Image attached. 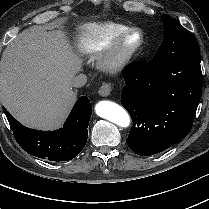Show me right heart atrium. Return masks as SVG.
Here are the masks:
<instances>
[{
    "mask_svg": "<svg viewBox=\"0 0 209 209\" xmlns=\"http://www.w3.org/2000/svg\"><path fill=\"white\" fill-rule=\"evenodd\" d=\"M75 73V67L71 66L68 68L67 72H66V78L70 79Z\"/></svg>",
    "mask_w": 209,
    "mask_h": 209,
    "instance_id": "d8ad5b80",
    "label": "right heart atrium"
}]
</instances>
